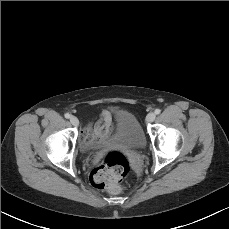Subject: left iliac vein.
I'll return each mask as SVG.
<instances>
[{
	"label": "left iliac vein",
	"instance_id": "1",
	"mask_svg": "<svg viewBox=\"0 0 229 229\" xmlns=\"http://www.w3.org/2000/svg\"><path fill=\"white\" fill-rule=\"evenodd\" d=\"M155 117H156L155 113H154V112H150V113H148V115L146 116V121H147L148 123L153 122V121L155 120Z\"/></svg>",
	"mask_w": 229,
	"mask_h": 229
}]
</instances>
